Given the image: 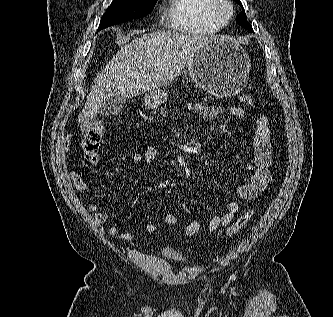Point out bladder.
Wrapping results in <instances>:
<instances>
[{"instance_id":"bladder-1","label":"bladder","mask_w":333,"mask_h":317,"mask_svg":"<svg viewBox=\"0 0 333 317\" xmlns=\"http://www.w3.org/2000/svg\"><path fill=\"white\" fill-rule=\"evenodd\" d=\"M161 255L168 260H177L186 262L187 258L179 254L174 250L165 249L161 252Z\"/></svg>"}]
</instances>
